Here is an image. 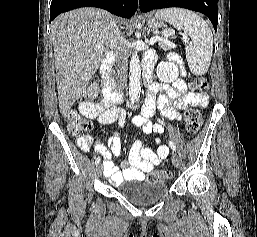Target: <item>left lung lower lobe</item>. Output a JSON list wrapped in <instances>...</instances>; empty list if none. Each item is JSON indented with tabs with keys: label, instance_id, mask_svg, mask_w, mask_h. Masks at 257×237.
Wrapping results in <instances>:
<instances>
[{
	"label": "left lung lower lobe",
	"instance_id": "obj_1",
	"mask_svg": "<svg viewBox=\"0 0 257 237\" xmlns=\"http://www.w3.org/2000/svg\"><path fill=\"white\" fill-rule=\"evenodd\" d=\"M168 7H181L205 14L213 24H218L217 0H140L141 12Z\"/></svg>",
	"mask_w": 257,
	"mask_h": 237
}]
</instances>
